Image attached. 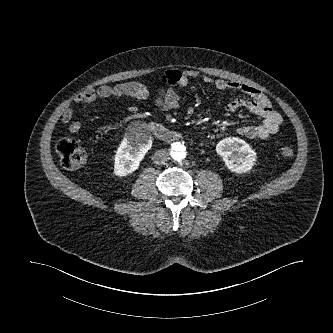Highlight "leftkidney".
I'll list each match as a JSON object with an SVG mask.
<instances>
[{
    "instance_id": "left-kidney-1",
    "label": "left kidney",
    "mask_w": 333,
    "mask_h": 333,
    "mask_svg": "<svg viewBox=\"0 0 333 333\" xmlns=\"http://www.w3.org/2000/svg\"><path fill=\"white\" fill-rule=\"evenodd\" d=\"M219 154L226 167L235 173H245L251 170L256 161V152L244 140L236 137H228L216 145Z\"/></svg>"
}]
</instances>
